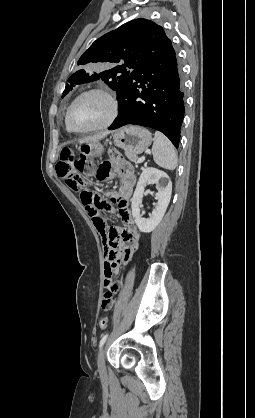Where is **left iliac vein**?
I'll use <instances>...</instances> for the list:
<instances>
[{"label": "left iliac vein", "mask_w": 255, "mask_h": 418, "mask_svg": "<svg viewBox=\"0 0 255 418\" xmlns=\"http://www.w3.org/2000/svg\"><path fill=\"white\" fill-rule=\"evenodd\" d=\"M98 371L101 376H104L106 373L105 362H104V348H102L98 355Z\"/></svg>", "instance_id": "1"}]
</instances>
